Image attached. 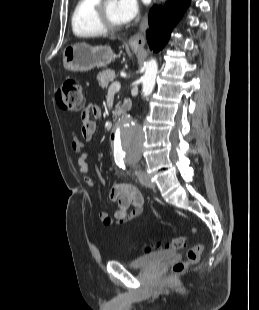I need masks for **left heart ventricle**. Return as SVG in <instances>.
Returning <instances> with one entry per match:
<instances>
[{
  "mask_svg": "<svg viewBox=\"0 0 259 310\" xmlns=\"http://www.w3.org/2000/svg\"><path fill=\"white\" fill-rule=\"evenodd\" d=\"M106 14L108 20L115 25H122L118 10H117V1L116 0H108L106 4Z\"/></svg>",
  "mask_w": 259,
  "mask_h": 310,
  "instance_id": "obj_1",
  "label": "left heart ventricle"
}]
</instances>
